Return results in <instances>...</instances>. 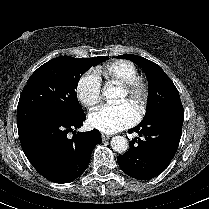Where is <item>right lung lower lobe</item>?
<instances>
[{
    "label": "right lung lower lobe",
    "instance_id": "right-lung-lower-lobe-1",
    "mask_svg": "<svg viewBox=\"0 0 209 209\" xmlns=\"http://www.w3.org/2000/svg\"><path fill=\"white\" fill-rule=\"evenodd\" d=\"M86 119L84 112L68 116H51L35 120L18 129L24 154L32 166L47 180L69 183L87 168L101 134L94 129L77 132ZM74 136L69 139L67 134Z\"/></svg>",
    "mask_w": 209,
    "mask_h": 209
}]
</instances>
